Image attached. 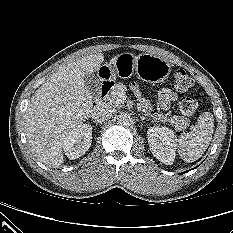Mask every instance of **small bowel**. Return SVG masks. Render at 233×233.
<instances>
[{
	"mask_svg": "<svg viewBox=\"0 0 233 233\" xmlns=\"http://www.w3.org/2000/svg\"><path fill=\"white\" fill-rule=\"evenodd\" d=\"M177 98L178 95L170 89H162L158 92V99L163 109H167Z\"/></svg>",
	"mask_w": 233,
	"mask_h": 233,
	"instance_id": "small-bowel-1",
	"label": "small bowel"
}]
</instances>
